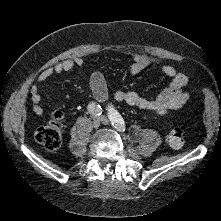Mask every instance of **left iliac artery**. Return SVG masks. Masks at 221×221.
Here are the masks:
<instances>
[{
    "mask_svg": "<svg viewBox=\"0 0 221 221\" xmlns=\"http://www.w3.org/2000/svg\"><path fill=\"white\" fill-rule=\"evenodd\" d=\"M108 117L111 124L119 131H125V122L123 117L111 106L108 108Z\"/></svg>",
    "mask_w": 221,
    "mask_h": 221,
    "instance_id": "left-iliac-artery-1",
    "label": "left iliac artery"
}]
</instances>
